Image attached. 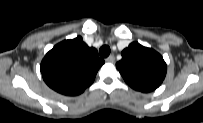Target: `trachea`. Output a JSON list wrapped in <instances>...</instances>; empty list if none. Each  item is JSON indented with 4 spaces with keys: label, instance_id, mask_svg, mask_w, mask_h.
<instances>
[{
    "label": "trachea",
    "instance_id": "trachea-1",
    "mask_svg": "<svg viewBox=\"0 0 203 123\" xmlns=\"http://www.w3.org/2000/svg\"><path fill=\"white\" fill-rule=\"evenodd\" d=\"M110 51H111L110 47L107 46V45H104L99 49V54H100L101 57L106 58V57L109 56Z\"/></svg>",
    "mask_w": 203,
    "mask_h": 123
}]
</instances>
